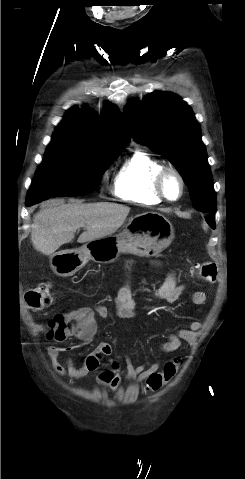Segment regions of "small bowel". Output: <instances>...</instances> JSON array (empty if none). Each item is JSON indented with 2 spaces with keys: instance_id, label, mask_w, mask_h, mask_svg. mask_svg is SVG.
I'll list each match as a JSON object with an SVG mask.
<instances>
[{
  "instance_id": "c3829d8e",
  "label": "small bowel",
  "mask_w": 245,
  "mask_h": 479,
  "mask_svg": "<svg viewBox=\"0 0 245 479\" xmlns=\"http://www.w3.org/2000/svg\"><path fill=\"white\" fill-rule=\"evenodd\" d=\"M184 290L185 285L180 284L175 273L170 272L164 282L154 291L153 295L155 298L173 303L181 297ZM206 299V294L202 291H196L191 296L192 302L196 305L204 304ZM114 305L115 314L121 319L134 318L137 315V303L133 297L129 281H126L118 289L114 296ZM95 315L105 319L110 316V311L106 306L100 304L71 311L69 316L77 323V327L72 330L71 334L81 338L84 334L94 333L96 328ZM48 324L49 326L51 325V320ZM201 327V322L194 320L189 323L188 328L180 329L176 333H170L167 340L160 346L162 352L172 353L177 351L181 347L182 342L191 341L194 334ZM55 341L61 342L60 340ZM61 350L62 348L57 344L49 345L47 349L52 367L57 374L76 380L90 373H96L97 384L104 388H110L113 391L121 388L125 382H144L151 374L162 370H159V362H155L147 367L144 364L134 365L130 359H127L124 378L121 377L120 365L117 362H114L110 369L100 370L102 358L112 354V346L107 342H101L96 349L88 353L80 366H76L71 358H67L63 364L60 363L58 358Z\"/></svg>"
}]
</instances>
